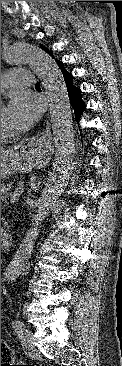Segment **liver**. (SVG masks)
Returning a JSON list of instances; mask_svg holds the SVG:
<instances>
[{"instance_id":"6515ba94","label":"liver","mask_w":122,"mask_h":366,"mask_svg":"<svg viewBox=\"0 0 122 366\" xmlns=\"http://www.w3.org/2000/svg\"><path fill=\"white\" fill-rule=\"evenodd\" d=\"M8 155H9V151H5V150L1 149V165L3 164L5 159L8 157Z\"/></svg>"}]
</instances>
